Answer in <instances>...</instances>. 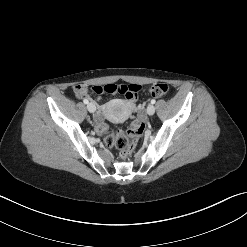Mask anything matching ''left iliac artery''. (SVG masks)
<instances>
[{
  "mask_svg": "<svg viewBox=\"0 0 247 247\" xmlns=\"http://www.w3.org/2000/svg\"><path fill=\"white\" fill-rule=\"evenodd\" d=\"M155 102H156L155 99L151 100V104H155Z\"/></svg>",
  "mask_w": 247,
  "mask_h": 247,
  "instance_id": "left-iliac-artery-1",
  "label": "left iliac artery"
}]
</instances>
